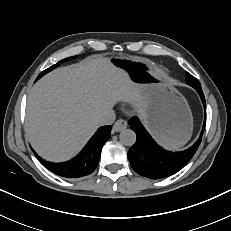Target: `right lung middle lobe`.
Listing matches in <instances>:
<instances>
[{
	"label": "right lung middle lobe",
	"mask_w": 231,
	"mask_h": 231,
	"mask_svg": "<svg viewBox=\"0 0 231 231\" xmlns=\"http://www.w3.org/2000/svg\"><path fill=\"white\" fill-rule=\"evenodd\" d=\"M72 58H75V57H69V58H66V59H63L61 61H59L57 64L49 67L48 69L44 70L38 77L36 80H38L40 77H42L43 75H45L46 73H48L49 71L53 70L54 68H56L57 66H59L60 64H62L63 62H66Z\"/></svg>",
	"instance_id": "dd1d6c3e"
}]
</instances>
